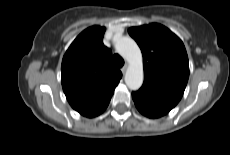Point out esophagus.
Returning a JSON list of instances; mask_svg holds the SVG:
<instances>
[{
    "instance_id": "obj_1",
    "label": "esophagus",
    "mask_w": 230,
    "mask_h": 155,
    "mask_svg": "<svg viewBox=\"0 0 230 155\" xmlns=\"http://www.w3.org/2000/svg\"><path fill=\"white\" fill-rule=\"evenodd\" d=\"M127 68H128V65H127V64H125V65L121 68V71H122L123 74L126 73Z\"/></svg>"
}]
</instances>
